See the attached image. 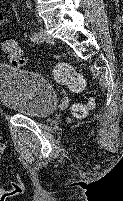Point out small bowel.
<instances>
[{"instance_id":"small-bowel-1","label":"small bowel","mask_w":123,"mask_h":201,"mask_svg":"<svg viewBox=\"0 0 123 201\" xmlns=\"http://www.w3.org/2000/svg\"><path fill=\"white\" fill-rule=\"evenodd\" d=\"M5 22V15L0 11V26Z\"/></svg>"}]
</instances>
